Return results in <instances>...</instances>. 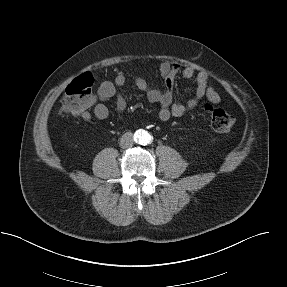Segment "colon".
I'll return each mask as SVG.
<instances>
[{
  "instance_id": "colon-1",
  "label": "colon",
  "mask_w": 287,
  "mask_h": 287,
  "mask_svg": "<svg viewBox=\"0 0 287 287\" xmlns=\"http://www.w3.org/2000/svg\"><path fill=\"white\" fill-rule=\"evenodd\" d=\"M93 84L94 79L90 73L81 74L69 83L62 100L63 112L73 116H81L86 112L94 102ZM203 109L216 131L227 132L234 126L235 118L224 109L211 104H205Z\"/></svg>"
}]
</instances>
